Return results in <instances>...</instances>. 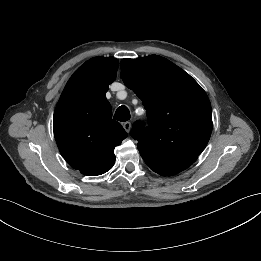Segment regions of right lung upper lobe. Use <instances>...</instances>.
I'll use <instances>...</instances> for the list:
<instances>
[{
	"instance_id": "obj_1",
	"label": "right lung upper lobe",
	"mask_w": 261,
	"mask_h": 261,
	"mask_svg": "<svg viewBox=\"0 0 261 261\" xmlns=\"http://www.w3.org/2000/svg\"><path fill=\"white\" fill-rule=\"evenodd\" d=\"M119 61L94 57L79 67L67 82L54 112L57 146L66 162L88 176L101 175L115 163L114 148L127 137L112 119L106 99Z\"/></svg>"
}]
</instances>
